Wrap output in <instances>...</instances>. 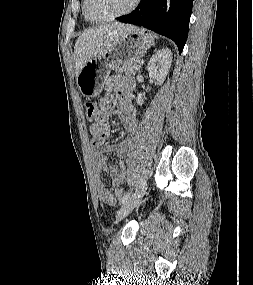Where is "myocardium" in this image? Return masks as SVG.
Wrapping results in <instances>:
<instances>
[{"label": "myocardium", "instance_id": "1", "mask_svg": "<svg viewBox=\"0 0 253 285\" xmlns=\"http://www.w3.org/2000/svg\"><path fill=\"white\" fill-rule=\"evenodd\" d=\"M88 2L89 0H83V11H84L86 18L92 22H106V21L115 20L117 18L130 14L138 7L141 0H133L132 4L126 10L119 12L117 14L111 15V16L103 17V18H95L90 15L89 10H88Z\"/></svg>", "mask_w": 253, "mask_h": 285}]
</instances>
